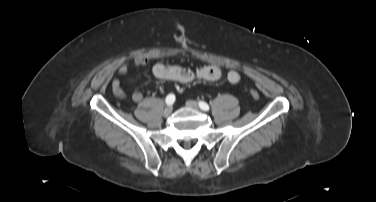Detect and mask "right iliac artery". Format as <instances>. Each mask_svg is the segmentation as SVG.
Here are the masks:
<instances>
[{"label":"right iliac artery","mask_w":376,"mask_h":202,"mask_svg":"<svg viewBox=\"0 0 376 202\" xmlns=\"http://www.w3.org/2000/svg\"><path fill=\"white\" fill-rule=\"evenodd\" d=\"M165 101L167 105H172L175 102V95L174 94L167 95Z\"/></svg>","instance_id":"82829eb1"}]
</instances>
